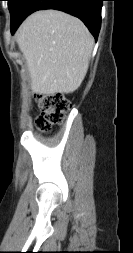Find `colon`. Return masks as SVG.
Segmentation results:
<instances>
[{
  "label": "colon",
  "mask_w": 133,
  "mask_h": 253,
  "mask_svg": "<svg viewBox=\"0 0 133 253\" xmlns=\"http://www.w3.org/2000/svg\"><path fill=\"white\" fill-rule=\"evenodd\" d=\"M36 102L40 114L36 118V128L41 132L50 130L53 126L63 123L69 107L68 101L60 94H38Z\"/></svg>",
  "instance_id": "obj_1"
}]
</instances>
